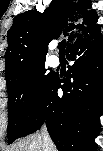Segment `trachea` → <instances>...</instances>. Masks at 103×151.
<instances>
[{"instance_id": "obj_1", "label": "trachea", "mask_w": 103, "mask_h": 151, "mask_svg": "<svg viewBox=\"0 0 103 151\" xmlns=\"http://www.w3.org/2000/svg\"><path fill=\"white\" fill-rule=\"evenodd\" d=\"M65 47H66V41L63 40L58 45V49L60 51V53H59L60 55H64L65 54Z\"/></svg>"}]
</instances>
